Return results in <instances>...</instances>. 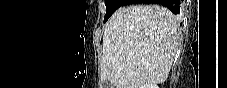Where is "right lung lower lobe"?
Masks as SVG:
<instances>
[{
  "label": "right lung lower lobe",
  "instance_id": "98d812e1",
  "mask_svg": "<svg viewBox=\"0 0 227 88\" xmlns=\"http://www.w3.org/2000/svg\"><path fill=\"white\" fill-rule=\"evenodd\" d=\"M133 3H155L167 7L174 14H179L181 11L180 0H129V4Z\"/></svg>",
  "mask_w": 227,
  "mask_h": 88
}]
</instances>
